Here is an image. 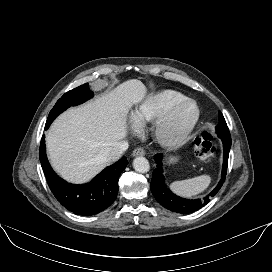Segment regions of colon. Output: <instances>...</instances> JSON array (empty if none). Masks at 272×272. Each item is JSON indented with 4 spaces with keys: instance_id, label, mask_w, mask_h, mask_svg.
<instances>
[{
    "instance_id": "5ec220e1",
    "label": "colon",
    "mask_w": 272,
    "mask_h": 272,
    "mask_svg": "<svg viewBox=\"0 0 272 272\" xmlns=\"http://www.w3.org/2000/svg\"><path fill=\"white\" fill-rule=\"evenodd\" d=\"M211 140L212 135L208 129L201 130L195 139V153L200 159L209 161L214 157L216 150Z\"/></svg>"
}]
</instances>
